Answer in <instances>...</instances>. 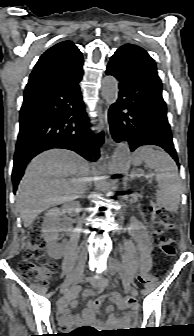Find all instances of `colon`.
<instances>
[{
  "label": "colon",
  "mask_w": 194,
  "mask_h": 336,
  "mask_svg": "<svg viewBox=\"0 0 194 336\" xmlns=\"http://www.w3.org/2000/svg\"><path fill=\"white\" fill-rule=\"evenodd\" d=\"M146 211L151 212L154 217L153 233L157 237L158 245L154 251L155 261L161 258H168L175 255L174 240L175 235L173 229L175 226L174 216L161 208L146 207ZM42 221L35 222L33 228L29 232L28 245L24 257L18 263V271L22 277L29 282L45 286L48 279L56 272L57 265L49 262L45 256V244L41 235ZM144 283L149 284L152 278H145ZM132 299L127 297L122 305L132 303ZM88 330L81 329L80 332Z\"/></svg>",
  "instance_id": "5ec220e1"
}]
</instances>
